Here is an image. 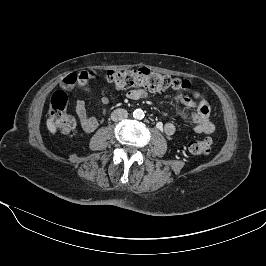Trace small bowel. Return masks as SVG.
<instances>
[{
	"instance_id": "c3829d8e",
	"label": "small bowel",
	"mask_w": 266,
	"mask_h": 266,
	"mask_svg": "<svg viewBox=\"0 0 266 266\" xmlns=\"http://www.w3.org/2000/svg\"><path fill=\"white\" fill-rule=\"evenodd\" d=\"M192 95H197L199 101L192 98ZM132 100H140L147 96V91L144 88L130 90L127 94ZM101 103L106 105L109 103V98L105 88L101 90ZM173 108L177 115L191 124L196 133L211 134L215 130V126L210 120V108L207 101L198 93L190 91V95L177 96L173 102ZM185 108H191L194 111L189 112ZM75 111L79 118L81 129L86 133L95 131L101 123V120L88 114L87 105L83 99H78L75 105ZM164 133L171 136L175 133V125L171 122L165 123L163 127Z\"/></svg>"
}]
</instances>
